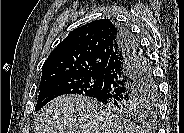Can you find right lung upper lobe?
Instances as JSON below:
<instances>
[{
	"mask_svg": "<svg viewBox=\"0 0 184 133\" xmlns=\"http://www.w3.org/2000/svg\"><path fill=\"white\" fill-rule=\"evenodd\" d=\"M119 36V26L110 19L74 29L44 62L40 87L59 78L103 74Z\"/></svg>",
	"mask_w": 184,
	"mask_h": 133,
	"instance_id": "cb5924a9",
	"label": "right lung upper lobe"
}]
</instances>
